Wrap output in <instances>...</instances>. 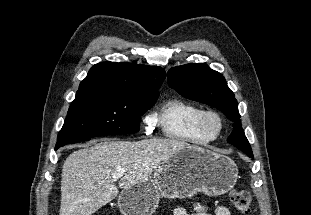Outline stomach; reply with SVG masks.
<instances>
[{"label": "stomach", "instance_id": "stomach-1", "mask_svg": "<svg viewBox=\"0 0 311 215\" xmlns=\"http://www.w3.org/2000/svg\"><path fill=\"white\" fill-rule=\"evenodd\" d=\"M237 175L236 164L227 156L190 146L162 163L151 177L124 189L118 206L123 215H152L162 197L222 195L235 185Z\"/></svg>", "mask_w": 311, "mask_h": 215}]
</instances>
